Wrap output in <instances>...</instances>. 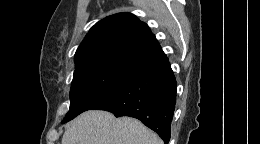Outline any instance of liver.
I'll return each mask as SVG.
<instances>
[{
	"instance_id": "6515ba94",
	"label": "liver",
	"mask_w": 260,
	"mask_h": 144,
	"mask_svg": "<svg viewBox=\"0 0 260 144\" xmlns=\"http://www.w3.org/2000/svg\"><path fill=\"white\" fill-rule=\"evenodd\" d=\"M62 144H163V141L137 119L115 118L106 111L90 110L67 126Z\"/></svg>"
}]
</instances>
